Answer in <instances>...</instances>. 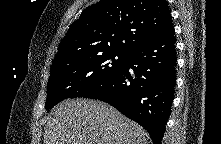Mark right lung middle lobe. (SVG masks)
I'll use <instances>...</instances> for the list:
<instances>
[{
  "label": "right lung middle lobe",
  "mask_w": 221,
  "mask_h": 144,
  "mask_svg": "<svg viewBox=\"0 0 221 144\" xmlns=\"http://www.w3.org/2000/svg\"><path fill=\"white\" fill-rule=\"evenodd\" d=\"M127 55L123 52H105L52 68L45 108L51 109L67 98L80 97L108 81L122 68Z\"/></svg>",
  "instance_id": "right-lung-middle-lobe-1"
}]
</instances>
